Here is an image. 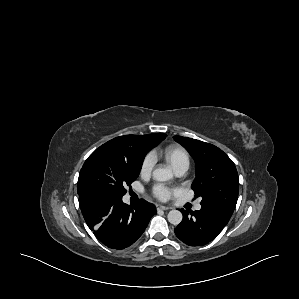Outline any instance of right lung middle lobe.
<instances>
[{
  "instance_id": "dd1d6c3e",
  "label": "right lung middle lobe",
  "mask_w": 299,
  "mask_h": 299,
  "mask_svg": "<svg viewBox=\"0 0 299 299\" xmlns=\"http://www.w3.org/2000/svg\"><path fill=\"white\" fill-rule=\"evenodd\" d=\"M142 163L126 161L116 151L103 144L85 161L78 178V194L95 192L123 197L126 186L136 180Z\"/></svg>"
}]
</instances>
